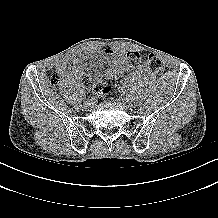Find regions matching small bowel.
<instances>
[{
    "label": "small bowel",
    "mask_w": 218,
    "mask_h": 218,
    "mask_svg": "<svg viewBox=\"0 0 218 218\" xmlns=\"http://www.w3.org/2000/svg\"><path fill=\"white\" fill-rule=\"evenodd\" d=\"M130 53L132 52L105 49L101 54L107 60L108 64L119 67L125 63ZM83 64L84 57L81 54L73 53L61 59L57 63L56 68L61 75L73 74L80 76L84 74Z\"/></svg>",
    "instance_id": "c3829d8e"
}]
</instances>
